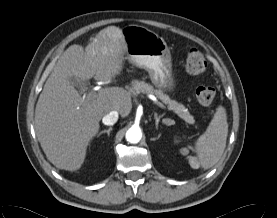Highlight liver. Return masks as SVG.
I'll list each match as a JSON object with an SVG mask.
<instances>
[{"label": "liver", "mask_w": 277, "mask_h": 218, "mask_svg": "<svg viewBox=\"0 0 277 218\" xmlns=\"http://www.w3.org/2000/svg\"><path fill=\"white\" fill-rule=\"evenodd\" d=\"M122 30L109 26L83 48L74 44L59 58L48 77L35 108V131L47 159L57 168L76 171L82 166L87 147L100 128L102 117L118 111L121 117L132 109L130 93L121 87H106L94 99L83 100L69 82L115 81L126 59Z\"/></svg>", "instance_id": "liver-1"}]
</instances>
